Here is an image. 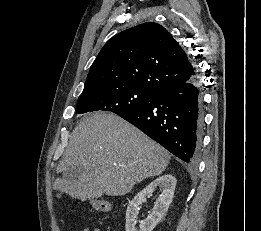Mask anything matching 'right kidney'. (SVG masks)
Segmentation results:
<instances>
[{
    "label": "right kidney",
    "mask_w": 261,
    "mask_h": 231,
    "mask_svg": "<svg viewBox=\"0 0 261 231\" xmlns=\"http://www.w3.org/2000/svg\"><path fill=\"white\" fill-rule=\"evenodd\" d=\"M176 182L177 181L174 176L165 174L156 178L148 186H146V188L139 192L127 207L125 225L126 231H152L165 216L169 205L172 202ZM157 187L162 190V194L156 200L152 213L145 220L140 222L139 227H136L140 204L145 202L146 196H151Z\"/></svg>",
    "instance_id": "right-kidney-1"
}]
</instances>
